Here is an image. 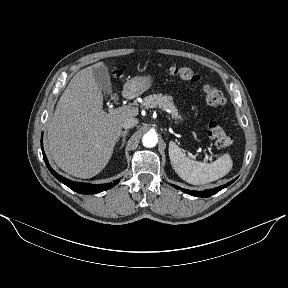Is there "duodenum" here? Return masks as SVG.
I'll list each match as a JSON object with an SVG mask.
<instances>
[{"label": "duodenum", "mask_w": 288, "mask_h": 288, "mask_svg": "<svg viewBox=\"0 0 288 288\" xmlns=\"http://www.w3.org/2000/svg\"><path fill=\"white\" fill-rule=\"evenodd\" d=\"M129 94H130L129 90H124V92H123L124 97H128Z\"/></svg>", "instance_id": "duodenum-1"}]
</instances>
